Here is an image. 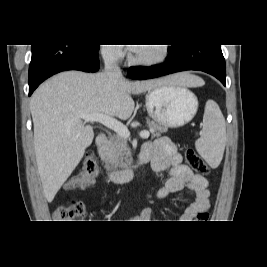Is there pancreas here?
<instances>
[{
	"instance_id": "cf45deb5",
	"label": "pancreas",
	"mask_w": 267,
	"mask_h": 267,
	"mask_svg": "<svg viewBox=\"0 0 267 267\" xmlns=\"http://www.w3.org/2000/svg\"><path fill=\"white\" fill-rule=\"evenodd\" d=\"M148 128L152 137H159L167 131V127L160 125L154 121L147 120ZM102 159L106 163V167L111 170L126 168L131 164V152L128 148L127 141L120 137L111 138L104 148Z\"/></svg>"
}]
</instances>
